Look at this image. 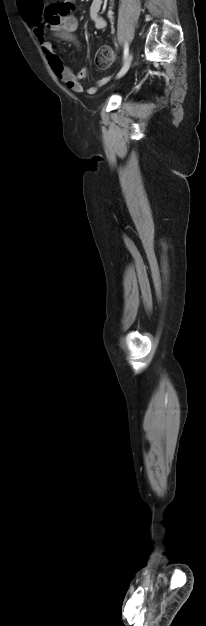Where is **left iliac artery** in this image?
<instances>
[{
    "mask_svg": "<svg viewBox=\"0 0 206 626\" xmlns=\"http://www.w3.org/2000/svg\"><path fill=\"white\" fill-rule=\"evenodd\" d=\"M128 53H129V47H128V44H127V43H125V45H124V52H123V58H124V60L127 58Z\"/></svg>",
    "mask_w": 206,
    "mask_h": 626,
    "instance_id": "44dca946",
    "label": "left iliac artery"
}]
</instances>
